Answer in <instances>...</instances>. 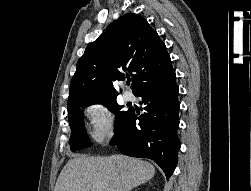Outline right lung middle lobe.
I'll list each match as a JSON object with an SVG mask.
<instances>
[{
    "mask_svg": "<svg viewBox=\"0 0 251 191\" xmlns=\"http://www.w3.org/2000/svg\"><path fill=\"white\" fill-rule=\"evenodd\" d=\"M101 104L105 105L116 115L114 131H116L126 121L127 117L132 111L130 108L128 111H122V106L117 104L116 99L105 101ZM88 105L90 104L68 108L69 125L71 128L69 144L71 146V151L73 152L92 145L85 130L82 111V108H85Z\"/></svg>",
    "mask_w": 251,
    "mask_h": 191,
    "instance_id": "right-lung-middle-lobe-1",
    "label": "right lung middle lobe"
}]
</instances>
